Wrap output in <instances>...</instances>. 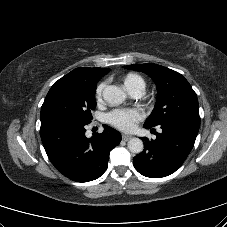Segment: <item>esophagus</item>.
<instances>
[{"mask_svg":"<svg viewBox=\"0 0 227 227\" xmlns=\"http://www.w3.org/2000/svg\"><path fill=\"white\" fill-rule=\"evenodd\" d=\"M131 138H132L131 135H127V134H123V135H122V139H123L124 141H128V140H130Z\"/></svg>","mask_w":227,"mask_h":227,"instance_id":"esophagus-1","label":"esophagus"}]
</instances>
